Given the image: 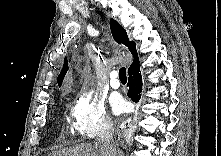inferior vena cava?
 I'll list each match as a JSON object with an SVG mask.
<instances>
[{"instance_id":"1","label":"inferior vena cava","mask_w":221,"mask_h":156,"mask_svg":"<svg viewBox=\"0 0 221 156\" xmlns=\"http://www.w3.org/2000/svg\"><path fill=\"white\" fill-rule=\"evenodd\" d=\"M114 128L113 123L108 121L104 130L100 133L99 137L96 140V145L100 146L101 148L105 149L106 151L112 153L115 156L116 148L112 145L111 140L113 138Z\"/></svg>"}]
</instances>
